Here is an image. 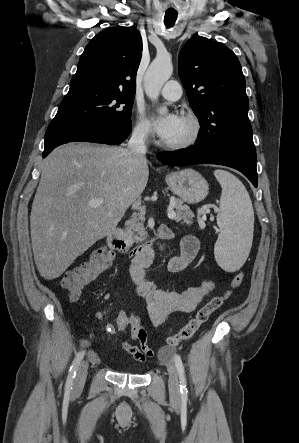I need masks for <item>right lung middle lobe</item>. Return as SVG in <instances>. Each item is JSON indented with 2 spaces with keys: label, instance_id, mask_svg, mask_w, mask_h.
<instances>
[{
  "label": "right lung middle lobe",
  "instance_id": "right-lung-middle-lobe-1",
  "mask_svg": "<svg viewBox=\"0 0 299 443\" xmlns=\"http://www.w3.org/2000/svg\"><path fill=\"white\" fill-rule=\"evenodd\" d=\"M134 95L99 88H70L51 124L87 125L131 121Z\"/></svg>",
  "mask_w": 299,
  "mask_h": 443
}]
</instances>
